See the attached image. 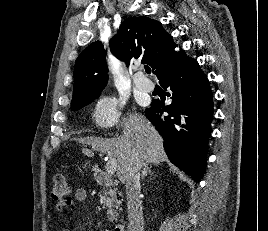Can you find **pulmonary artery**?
<instances>
[{"mask_svg":"<svg viewBox=\"0 0 268 231\" xmlns=\"http://www.w3.org/2000/svg\"><path fill=\"white\" fill-rule=\"evenodd\" d=\"M134 84L136 88L143 93L152 91L153 83L146 78L141 71H138L134 77Z\"/></svg>","mask_w":268,"mask_h":231,"instance_id":"obj_1","label":"pulmonary artery"}]
</instances>
